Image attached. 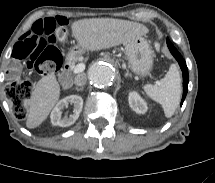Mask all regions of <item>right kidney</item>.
I'll return each instance as SVG.
<instances>
[{
    "label": "right kidney",
    "mask_w": 215,
    "mask_h": 183,
    "mask_svg": "<svg viewBox=\"0 0 215 183\" xmlns=\"http://www.w3.org/2000/svg\"><path fill=\"white\" fill-rule=\"evenodd\" d=\"M69 104H73L74 110L73 114L69 117H61V114L65 107H67ZM83 107V99L78 95H70L65 97L64 99L60 100L53 111L51 112L50 118L51 122L55 126L60 127H68L75 123V121L78 119L81 110Z\"/></svg>",
    "instance_id": "ca27d5eb"
}]
</instances>
